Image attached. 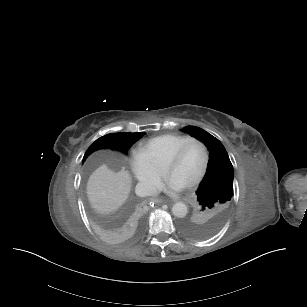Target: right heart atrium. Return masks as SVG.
<instances>
[{"label": "right heart atrium", "mask_w": 307, "mask_h": 307, "mask_svg": "<svg viewBox=\"0 0 307 307\" xmlns=\"http://www.w3.org/2000/svg\"><path fill=\"white\" fill-rule=\"evenodd\" d=\"M130 169L141 183L154 182L163 176L162 166L137 148L130 151Z\"/></svg>", "instance_id": "1"}]
</instances>
